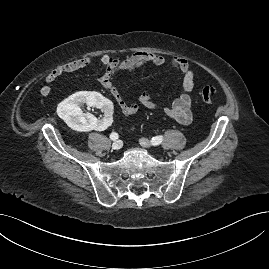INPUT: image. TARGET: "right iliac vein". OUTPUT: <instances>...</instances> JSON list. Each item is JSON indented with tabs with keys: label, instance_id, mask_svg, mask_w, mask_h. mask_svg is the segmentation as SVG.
<instances>
[{
	"label": "right iliac vein",
	"instance_id": "right-iliac-vein-1",
	"mask_svg": "<svg viewBox=\"0 0 269 269\" xmlns=\"http://www.w3.org/2000/svg\"><path fill=\"white\" fill-rule=\"evenodd\" d=\"M122 146H123V143L121 140H117L112 144V148L114 150H120L122 148Z\"/></svg>",
	"mask_w": 269,
	"mask_h": 269
}]
</instances>
